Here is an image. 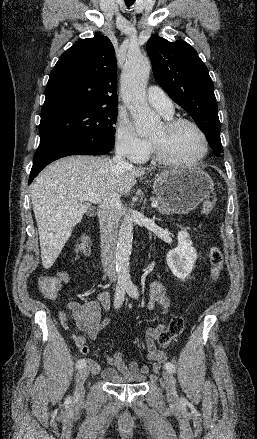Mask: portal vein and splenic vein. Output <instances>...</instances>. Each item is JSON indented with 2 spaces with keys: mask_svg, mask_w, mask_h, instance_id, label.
Segmentation results:
<instances>
[{
  "mask_svg": "<svg viewBox=\"0 0 257 439\" xmlns=\"http://www.w3.org/2000/svg\"><path fill=\"white\" fill-rule=\"evenodd\" d=\"M76 197L81 201H88L91 203H100L101 202L100 196L98 194H94V193L77 194ZM157 206H158L157 201H153L151 203L152 208H156Z\"/></svg>",
  "mask_w": 257,
  "mask_h": 439,
  "instance_id": "obj_1",
  "label": "portal vein and splenic vein"
}]
</instances>
